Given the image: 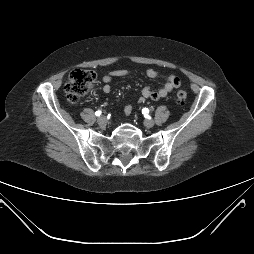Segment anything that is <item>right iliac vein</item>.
I'll return each instance as SVG.
<instances>
[{
  "label": "right iliac vein",
  "mask_w": 254,
  "mask_h": 254,
  "mask_svg": "<svg viewBox=\"0 0 254 254\" xmlns=\"http://www.w3.org/2000/svg\"><path fill=\"white\" fill-rule=\"evenodd\" d=\"M97 122H98L99 125H104V124H106L107 119H106L105 116H100V117L97 119Z\"/></svg>",
  "instance_id": "obj_1"
}]
</instances>
